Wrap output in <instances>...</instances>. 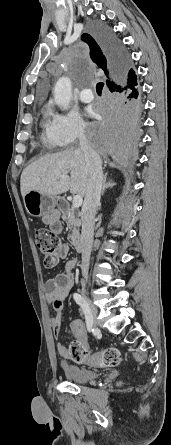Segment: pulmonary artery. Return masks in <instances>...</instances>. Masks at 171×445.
Wrapping results in <instances>:
<instances>
[{
    "mask_svg": "<svg viewBox=\"0 0 171 445\" xmlns=\"http://www.w3.org/2000/svg\"><path fill=\"white\" fill-rule=\"evenodd\" d=\"M79 98L84 103H90L94 96L90 89H84L81 91Z\"/></svg>",
    "mask_w": 171,
    "mask_h": 445,
    "instance_id": "e3ab8cb5",
    "label": "pulmonary artery"
}]
</instances>
